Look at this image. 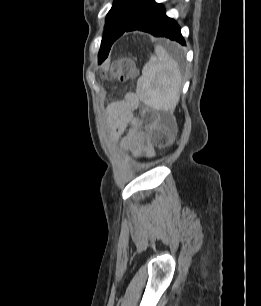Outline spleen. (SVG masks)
Returning <instances> with one entry per match:
<instances>
[{"mask_svg": "<svg viewBox=\"0 0 261 306\" xmlns=\"http://www.w3.org/2000/svg\"><path fill=\"white\" fill-rule=\"evenodd\" d=\"M155 53L142 69L136 93L153 109L173 111L180 98L181 71L177 61L162 46H157Z\"/></svg>", "mask_w": 261, "mask_h": 306, "instance_id": "spleen-1", "label": "spleen"}]
</instances>
